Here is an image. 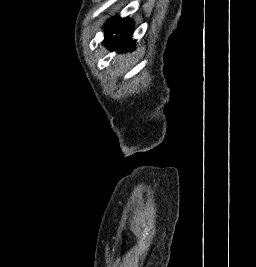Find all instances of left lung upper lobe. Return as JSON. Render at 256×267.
I'll use <instances>...</instances> for the list:
<instances>
[{"mask_svg":"<svg viewBox=\"0 0 256 267\" xmlns=\"http://www.w3.org/2000/svg\"><path fill=\"white\" fill-rule=\"evenodd\" d=\"M133 24L129 19L115 17L107 23L105 28V40L103 41L109 49L125 46L133 47L131 40ZM116 34V35H113Z\"/></svg>","mask_w":256,"mask_h":267,"instance_id":"obj_1","label":"left lung upper lobe"}]
</instances>
